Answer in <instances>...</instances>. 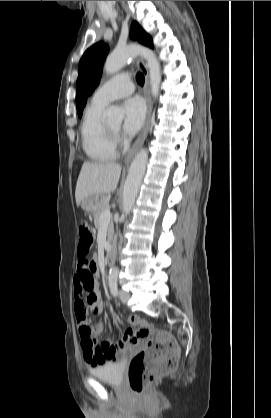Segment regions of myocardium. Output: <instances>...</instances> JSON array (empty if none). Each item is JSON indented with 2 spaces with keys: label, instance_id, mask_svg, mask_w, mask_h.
Masks as SVG:
<instances>
[{
  "label": "myocardium",
  "instance_id": "myocardium-1",
  "mask_svg": "<svg viewBox=\"0 0 271 418\" xmlns=\"http://www.w3.org/2000/svg\"><path fill=\"white\" fill-rule=\"evenodd\" d=\"M106 131L108 136L116 142L117 137H118V131H114L113 129H111L109 126L106 125Z\"/></svg>",
  "mask_w": 271,
  "mask_h": 418
}]
</instances>
